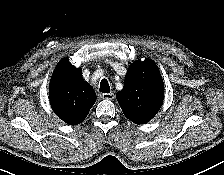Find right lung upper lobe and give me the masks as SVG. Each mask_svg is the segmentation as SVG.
<instances>
[{
	"mask_svg": "<svg viewBox=\"0 0 224 175\" xmlns=\"http://www.w3.org/2000/svg\"><path fill=\"white\" fill-rule=\"evenodd\" d=\"M50 104L55 114L69 125L80 124L96 101V93L67 58L56 66L50 80Z\"/></svg>",
	"mask_w": 224,
	"mask_h": 175,
	"instance_id": "1",
	"label": "right lung upper lobe"
}]
</instances>
